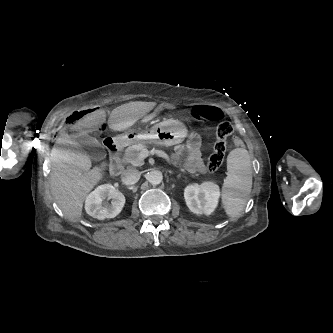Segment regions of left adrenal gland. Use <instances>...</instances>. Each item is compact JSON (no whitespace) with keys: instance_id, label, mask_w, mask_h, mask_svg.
Segmentation results:
<instances>
[{"instance_id":"a2214340","label":"left adrenal gland","mask_w":333,"mask_h":333,"mask_svg":"<svg viewBox=\"0 0 333 333\" xmlns=\"http://www.w3.org/2000/svg\"><path fill=\"white\" fill-rule=\"evenodd\" d=\"M181 177V175H178V178H180Z\"/></svg>"}]
</instances>
